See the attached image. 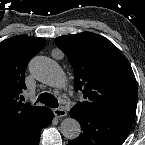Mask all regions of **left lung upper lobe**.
<instances>
[{
	"label": "left lung upper lobe",
	"mask_w": 145,
	"mask_h": 145,
	"mask_svg": "<svg viewBox=\"0 0 145 145\" xmlns=\"http://www.w3.org/2000/svg\"><path fill=\"white\" fill-rule=\"evenodd\" d=\"M55 43L72 64L76 91L84 94L85 100L73 108L136 114L137 82L130 63L112 42L84 32L57 37Z\"/></svg>",
	"instance_id": "1"
}]
</instances>
